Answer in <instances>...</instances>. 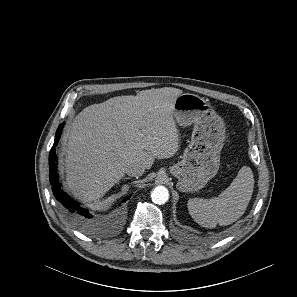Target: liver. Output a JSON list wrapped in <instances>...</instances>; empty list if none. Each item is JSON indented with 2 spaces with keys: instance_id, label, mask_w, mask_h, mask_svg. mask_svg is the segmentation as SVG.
Returning a JSON list of instances; mask_svg holds the SVG:
<instances>
[{
  "instance_id": "liver-1",
  "label": "liver",
  "mask_w": 297,
  "mask_h": 297,
  "mask_svg": "<svg viewBox=\"0 0 297 297\" xmlns=\"http://www.w3.org/2000/svg\"><path fill=\"white\" fill-rule=\"evenodd\" d=\"M172 87L117 96L83 109L63 138L66 186L85 202H94L124 177L130 163L150 169L155 158L178 151Z\"/></svg>"
}]
</instances>
